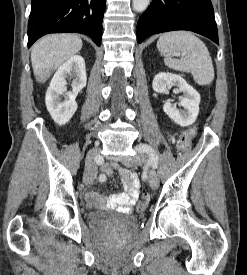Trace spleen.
<instances>
[{
	"instance_id": "3e777b00",
	"label": "spleen",
	"mask_w": 247,
	"mask_h": 275,
	"mask_svg": "<svg viewBox=\"0 0 247 275\" xmlns=\"http://www.w3.org/2000/svg\"><path fill=\"white\" fill-rule=\"evenodd\" d=\"M164 56V63L175 70L190 72L199 85H208L214 79V68L210 53L198 37L189 31L164 33L157 42ZM172 51L185 55L184 60L172 57Z\"/></svg>"
}]
</instances>
